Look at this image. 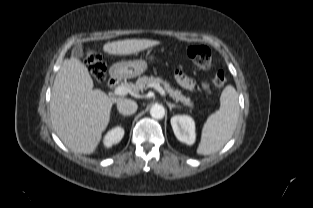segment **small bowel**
I'll return each mask as SVG.
<instances>
[{
    "label": "small bowel",
    "instance_id": "c3829d8e",
    "mask_svg": "<svg viewBox=\"0 0 313 208\" xmlns=\"http://www.w3.org/2000/svg\"><path fill=\"white\" fill-rule=\"evenodd\" d=\"M175 79H176L177 83L185 89L192 90L195 86L194 80L191 79L190 77H188L187 75H185L180 70L175 71ZM203 87L205 90L209 89L207 84H204Z\"/></svg>",
    "mask_w": 313,
    "mask_h": 208
}]
</instances>
